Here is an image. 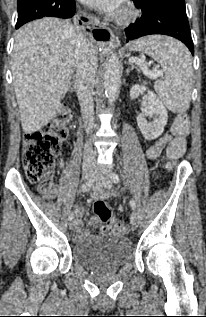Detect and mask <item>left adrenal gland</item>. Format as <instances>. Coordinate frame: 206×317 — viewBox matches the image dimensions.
Returning <instances> with one entry per match:
<instances>
[{"mask_svg": "<svg viewBox=\"0 0 206 317\" xmlns=\"http://www.w3.org/2000/svg\"><path fill=\"white\" fill-rule=\"evenodd\" d=\"M135 68L134 64H131L130 67L127 69V73L129 74L131 70Z\"/></svg>", "mask_w": 206, "mask_h": 317, "instance_id": "obj_1", "label": "left adrenal gland"}]
</instances>
